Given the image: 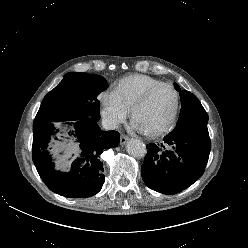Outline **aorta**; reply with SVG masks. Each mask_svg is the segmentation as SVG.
<instances>
[{
  "label": "aorta",
  "mask_w": 248,
  "mask_h": 248,
  "mask_svg": "<svg viewBox=\"0 0 248 248\" xmlns=\"http://www.w3.org/2000/svg\"><path fill=\"white\" fill-rule=\"evenodd\" d=\"M126 150L128 154L136 158L144 157L147 152L145 144L138 139L130 140L126 145Z\"/></svg>",
  "instance_id": "obj_1"
}]
</instances>
